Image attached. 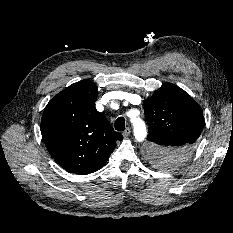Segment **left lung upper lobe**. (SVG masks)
I'll return each mask as SVG.
<instances>
[{
  "label": "left lung upper lobe",
  "mask_w": 233,
  "mask_h": 233,
  "mask_svg": "<svg viewBox=\"0 0 233 233\" xmlns=\"http://www.w3.org/2000/svg\"><path fill=\"white\" fill-rule=\"evenodd\" d=\"M144 113L151 142L148 160L161 168L182 164L193 153L203 129L200 106L178 86L165 83L144 100Z\"/></svg>",
  "instance_id": "left-lung-upper-lobe-1"
}]
</instances>
